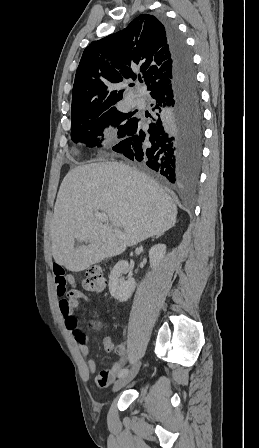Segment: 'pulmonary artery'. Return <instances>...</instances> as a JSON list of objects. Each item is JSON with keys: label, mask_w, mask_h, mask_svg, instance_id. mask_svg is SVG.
Here are the masks:
<instances>
[{"label": "pulmonary artery", "mask_w": 259, "mask_h": 448, "mask_svg": "<svg viewBox=\"0 0 259 448\" xmlns=\"http://www.w3.org/2000/svg\"><path fill=\"white\" fill-rule=\"evenodd\" d=\"M141 103H142V100H141V99L137 98V99L135 100V104L139 105V104H141Z\"/></svg>", "instance_id": "1"}]
</instances>
